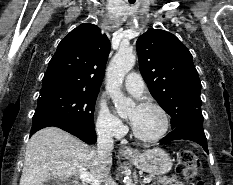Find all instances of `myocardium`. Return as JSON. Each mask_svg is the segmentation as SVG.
<instances>
[{
  "label": "myocardium",
  "instance_id": "1",
  "mask_svg": "<svg viewBox=\"0 0 233 185\" xmlns=\"http://www.w3.org/2000/svg\"><path fill=\"white\" fill-rule=\"evenodd\" d=\"M139 108H155L157 109L164 120V125L162 130L153 137H144L137 133V131L132 127V135L133 137L143 143H156L163 139L167 133L169 132L170 126H171V119L168 111L159 103L153 102V101H144L138 105Z\"/></svg>",
  "mask_w": 233,
  "mask_h": 185
}]
</instances>
